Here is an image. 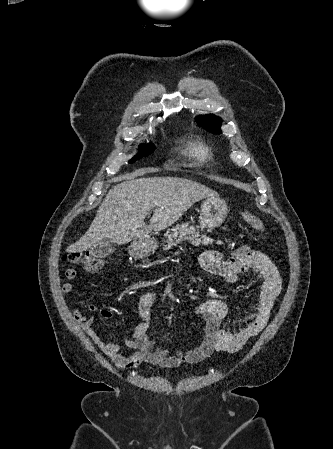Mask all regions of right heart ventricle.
<instances>
[{
	"instance_id": "e07e8e85",
	"label": "right heart ventricle",
	"mask_w": 333,
	"mask_h": 449,
	"mask_svg": "<svg viewBox=\"0 0 333 449\" xmlns=\"http://www.w3.org/2000/svg\"><path fill=\"white\" fill-rule=\"evenodd\" d=\"M183 153L198 161H207L211 154L208 147L202 142H189L183 147Z\"/></svg>"
}]
</instances>
